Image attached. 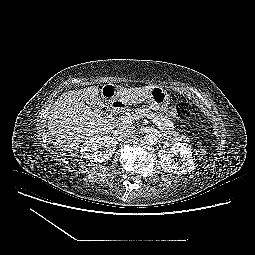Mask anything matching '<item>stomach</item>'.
I'll list each match as a JSON object with an SVG mask.
<instances>
[{"mask_svg": "<svg viewBox=\"0 0 255 255\" xmlns=\"http://www.w3.org/2000/svg\"><path fill=\"white\" fill-rule=\"evenodd\" d=\"M114 91L112 94H108L102 89V97L105 99H111L115 96L117 87H113ZM118 101V100H116ZM146 103L150 109H152L157 115L164 118L166 121L171 120V107L169 94L165 89L160 86H153L151 91L149 92Z\"/></svg>", "mask_w": 255, "mask_h": 255, "instance_id": "1", "label": "stomach"}]
</instances>
